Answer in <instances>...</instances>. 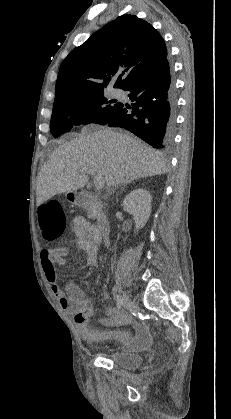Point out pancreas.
<instances>
[{"label":"pancreas","mask_w":231,"mask_h":419,"mask_svg":"<svg viewBox=\"0 0 231 419\" xmlns=\"http://www.w3.org/2000/svg\"><path fill=\"white\" fill-rule=\"evenodd\" d=\"M100 213V209L97 206L90 205L88 208V217L95 219Z\"/></svg>","instance_id":"cf45deb5"}]
</instances>
